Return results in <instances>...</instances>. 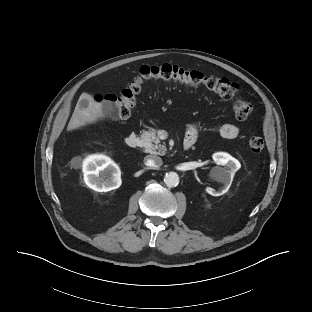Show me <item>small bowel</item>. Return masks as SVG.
<instances>
[{
  "label": "small bowel",
  "instance_id": "c3829d8e",
  "mask_svg": "<svg viewBox=\"0 0 312 312\" xmlns=\"http://www.w3.org/2000/svg\"><path fill=\"white\" fill-rule=\"evenodd\" d=\"M199 135V127L196 124L189 125L186 131L184 142H189L191 146L196 142ZM220 135L224 139H235L239 135V127L233 123H225L220 128Z\"/></svg>",
  "mask_w": 312,
  "mask_h": 312
}]
</instances>
